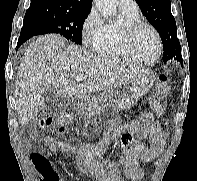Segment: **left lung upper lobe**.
<instances>
[{"instance_id":"obj_1","label":"left lung upper lobe","mask_w":197,"mask_h":181,"mask_svg":"<svg viewBox=\"0 0 197 181\" xmlns=\"http://www.w3.org/2000/svg\"><path fill=\"white\" fill-rule=\"evenodd\" d=\"M142 14L159 32L164 54L163 61L176 59L182 63L181 46L177 38L175 19L170 0H136Z\"/></svg>"}]
</instances>
